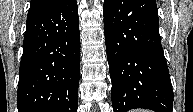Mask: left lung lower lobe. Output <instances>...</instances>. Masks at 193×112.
<instances>
[{"label": "left lung lower lobe", "instance_id": "1", "mask_svg": "<svg viewBox=\"0 0 193 112\" xmlns=\"http://www.w3.org/2000/svg\"><path fill=\"white\" fill-rule=\"evenodd\" d=\"M104 32L114 112H172L173 90L155 0H104Z\"/></svg>", "mask_w": 193, "mask_h": 112}]
</instances>
